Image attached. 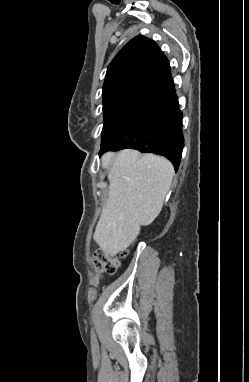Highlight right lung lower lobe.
Returning a JSON list of instances; mask_svg holds the SVG:
<instances>
[{
  "mask_svg": "<svg viewBox=\"0 0 249 382\" xmlns=\"http://www.w3.org/2000/svg\"><path fill=\"white\" fill-rule=\"evenodd\" d=\"M183 147L182 113L173 86L152 102L125 131L102 145L100 155L109 150L137 149L165 156L177 171Z\"/></svg>",
  "mask_w": 249,
  "mask_h": 382,
  "instance_id": "right-lung-lower-lobe-1",
  "label": "right lung lower lobe"
}]
</instances>
